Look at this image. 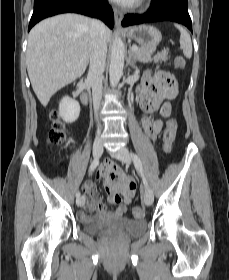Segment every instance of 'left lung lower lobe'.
Returning a JSON list of instances; mask_svg holds the SVG:
<instances>
[{"instance_id": "0a47b994", "label": "left lung lower lobe", "mask_w": 229, "mask_h": 280, "mask_svg": "<svg viewBox=\"0 0 229 280\" xmlns=\"http://www.w3.org/2000/svg\"><path fill=\"white\" fill-rule=\"evenodd\" d=\"M173 21L185 25L192 31L191 18L188 13V0H153V3L144 15L129 14L124 17L122 26L141 23Z\"/></svg>"}]
</instances>
